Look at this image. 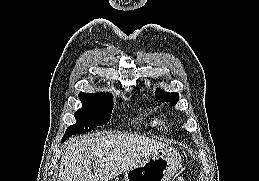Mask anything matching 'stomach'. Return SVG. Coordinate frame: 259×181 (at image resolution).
Masks as SVG:
<instances>
[{
	"label": "stomach",
	"instance_id": "stomach-1",
	"mask_svg": "<svg viewBox=\"0 0 259 181\" xmlns=\"http://www.w3.org/2000/svg\"><path fill=\"white\" fill-rule=\"evenodd\" d=\"M180 164L181 157L177 151L161 150L126 171L123 181H170Z\"/></svg>",
	"mask_w": 259,
	"mask_h": 181
}]
</instances>
